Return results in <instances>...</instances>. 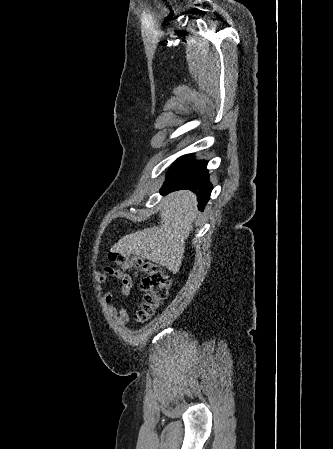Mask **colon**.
<instances>
[{"label":"colon","mask_w":333,"mask_h":449,"mask_svg":"<svg viewBox=\"0 0 333 449\" xmlns=\"http://www.w3.org/2000/svg\"><path fill=\"white\" fill-rule=\"evenodd\" d=\"M109 260L122 269H138L143 273L140 287L144 292V301L136 313L138 321L147 320L168 294L171 284L170 275L161 267L120 250L109 253Z\"/></svg>","instance_id":"5ec220e1"}]
</instances>
